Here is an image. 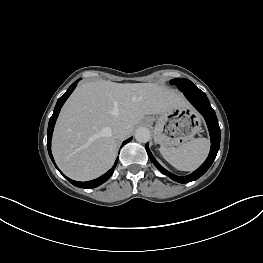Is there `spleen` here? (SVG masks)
<instances>
[{
  "label": "spleen",
  "instance_id": "obj_1",
  "mask_svg": "<svg viewBox=\"0 0 263 263\" xmlns=\"http://www.w3.org/2000/svg\"><path fill=\"white\" fill-rule=\"evenodd\" d=\"M210 142L206 138H196L183 143L180 147H160L163 158L173 167L181 171H193L206 159Z\"/></svg>",
  "mask_w": 263,
  "mask_h": 263
}]
</instances>
